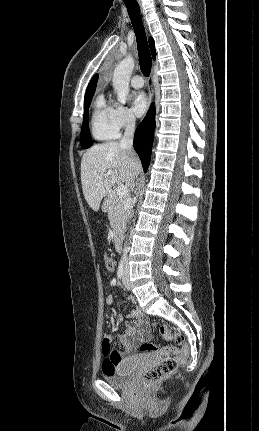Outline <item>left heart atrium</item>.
Here are the masks:
<instances>
[{"label":"left heart atrium","mask_w":259,"mask_h":431,"mask_svg":"<svg viewBox=\"0 0 259 431\" xmlns=\"http://www.w3.org/2000/svg\"><path fill=\"white\" fill-rule=\"evenodd\" d=\"M148 106L147 96L143 92H136L132 97V110L133 113L140 117L142 116Z\"/></svg>","instance_id":"obj_1"}]
</instances>
